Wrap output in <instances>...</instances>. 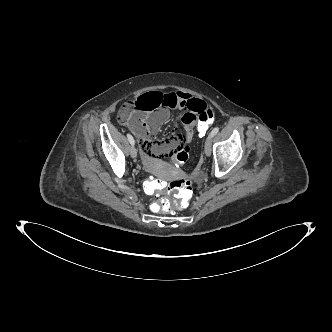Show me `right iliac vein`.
I'll return each mask as SVG.
<instances>
[{
  "label": "right iliac vein",
  "mask_w": 332,
  "mask_h": 332,
  "mask_svg": "<svg viewBox=\"0 0 332 332\" xmlns=\"http://www.w3.org/2000/svg\"><path fill=\"white\" fill-rule=\"evenodd\" d=\"M130 155H131L132 158L137 157V149L135 148L134 145H132V147L130 148Z\"/></svg>",
  "instance_id": "obj_1"
}]
</instances>
